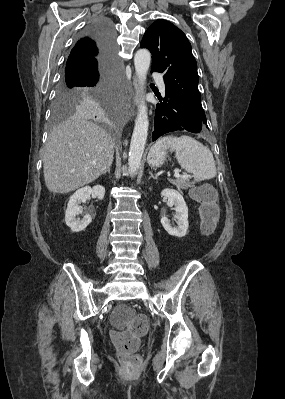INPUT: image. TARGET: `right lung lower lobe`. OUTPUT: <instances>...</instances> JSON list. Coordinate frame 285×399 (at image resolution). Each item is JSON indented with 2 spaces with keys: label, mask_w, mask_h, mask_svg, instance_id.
<instances>
[{
  "label": "right lung lower lobe",
  "mask_w": 285,
  "mask_h": 399,
  "mask_svg": "<svg viewBox=\"0 0 285 399\" xmlns=\"http://www.w3.org/2000/svg\"><path fill=\"white\" fill-rule=\"evenodd\" d=\"M92 35L98 44L100 54L95 61H80L66 65L63 81L90 89L111 88L115 75V31L110 21L100 19L92 23L84 35ZM97 110L100 102L90 103Z\"/></svg>",
  "instance_id": "98d812e1"
}]
</instances>
